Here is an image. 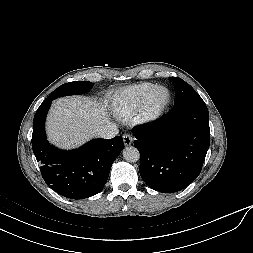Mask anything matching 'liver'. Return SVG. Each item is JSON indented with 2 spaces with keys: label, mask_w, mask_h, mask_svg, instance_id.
Segmentation results:
<instances>
[{
  "label": "liver",
  "mask_w": 253,
  "mask_h": 253,
  "mask_svg": "<svg viewBox=\"0 0 253 253\" xmlns=\"http://www.w3.org/2000/svg\"><path fill=\"white\" fill-rule=\"evenodd\" d=\"M110 122L106 106L84 97H64L53 102L47 117L49 140L73 148L95 136L94 130Z\"/></svg>",
  "instance_id": "6515ba94"
}]
</instances>
